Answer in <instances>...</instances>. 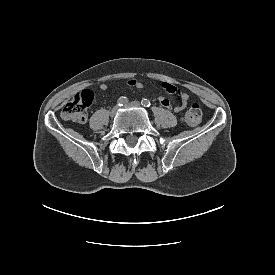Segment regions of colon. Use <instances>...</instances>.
Listing matches in <instances>:
<instances>
[{
  "label": "colon",
  "mask_w": 275,
  "mask_h": 275,
  "mask_svg": "<svg viewBox=\"0 0 275 275\" xmlns=\"http://www.w3.org/2000/svg\"><path fill=\"white\" fill-rule=\"evenodd\" d=\"M94 97L95 95L92 90H82L72 101L63 107L61 116L74 123L84 124L87 119V107L93 102ZM202 115L203 110L201 105L193 102L183 116V122L189 126H195L201 121Z\"/></svg>",
  "instance_id": "obj_1"
}]
</instances>
